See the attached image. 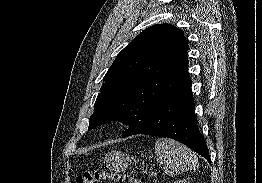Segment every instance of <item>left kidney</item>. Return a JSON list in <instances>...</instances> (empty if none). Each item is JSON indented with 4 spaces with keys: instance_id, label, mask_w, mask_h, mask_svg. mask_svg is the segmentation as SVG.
<instances>
[{
    "instance_id": "obj_1",
    "label": "left kidney",
    "mask_w": 262,
    "mask_h": 183,
    "mask_svg": "<svg viewBox=\"0 0 262 183\" xmlns=\"http://www.w3.org/2000/svg\"><path fill=\"white\" fill-rule=\"evenodd\" d=\"M174 183H190L189 180L183 179V180H177Z\"/></svg>"
}]
</instances>
